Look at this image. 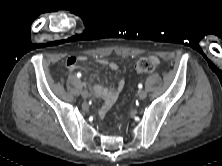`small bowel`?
<instances>
[{
	"instance_id": "1",
	"label": "small bowel",
	"mask_w": 222,
	"mask_h": 166,
	"mask_svg": "<svg viewBox=\"0 0 222 166\" xmlns=\"http://www.w3.org/2000/svg\"><path fill=\"white\" fill-rule=\"evenodd\" d=\"M86 57L84 56H70L66 60V67L69 70H72L77 67V63L79 61H85ZM98 63L103 66H108L111 70H117L118 64L112 61H108L104 58H99ZM90 84L93 90V93L96 97L102 100V104L99 108V115L103 116L105 113L111 108V106L115 103L119 93L123 90L125 86V81L123 79L119 80L116 85L106 88L102 85L95 84L93 79H90Z\"/></svg>"
}]
</instances>
